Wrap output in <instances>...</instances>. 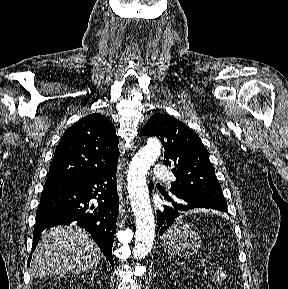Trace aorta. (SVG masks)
Masks as SVG:
<instances>
[{
    "label": "aorta",
    "instance_id": "1",
    "mask_svg": "<svg viewBox=\"0 0 288 289\" xmlns=\"http://www.w3.org/2000/svg\"><path fill=\"white\" fill-rule=\"evenodd\" d=\"M161 144L151 139L133 157L127 175V190L135 217L134 257L144 258L151 251L155 238V219L148 194L146 174L160 155Z\"/></svg>",
    "mask_w": 288,
    "mask_h": 289
}]
</instances>
